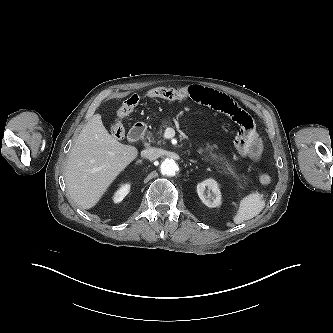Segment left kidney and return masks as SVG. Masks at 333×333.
Instances as JSON below:
<instances>
[{"instance_id": "obj_1", "label": "left kidney", "mask_w": 333, "mask_h": 333, "mask_svg": "<svg viewBox=\"0 0 333 333\" xmlns=\"http://www.w3.org/2000/svg\"><path fill=\"white\" fill-rule=\"evenodd\" d=\"M206 188L208 189L207 195L205 194ZM197 193L207 207L215 208L221 205V192L218 183L214 179L210 178L198 183Z\"/></svg>"}]
</instances>
